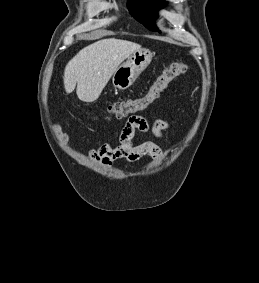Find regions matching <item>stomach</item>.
Returning a JSON list of instances; mask_svg holds the SVG:
<instances>
[{"mask_svg": "<svg viewBox=\"0 0 259 283\" xmlns=\"http://www.w3.org/2000/svg\"><path fill=\"white\" fill-rule=\"evenodd\" d=\"M152 60V53L147 49H139L133 52L114 72L112 77L113 85L125 90L130 87L140 73L149 65Z\"/></svg>", "mask_w": 259, "mask_h": 283, "instance_id": "1", "label": "stomach"}]
</instances>
